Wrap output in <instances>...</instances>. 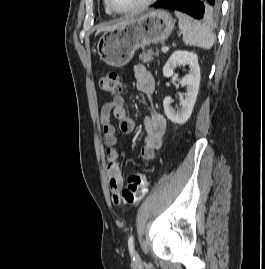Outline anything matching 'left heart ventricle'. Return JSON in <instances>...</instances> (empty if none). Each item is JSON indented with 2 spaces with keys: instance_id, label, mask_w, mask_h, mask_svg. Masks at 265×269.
<instances>
[{
  "instance_id": "obj_1",
  "label": "left heart ventricle",
  "mask_w": 265,
  "mask_h": 269,
  "mask_svg": "<svg viewBox=\"0 0 265 269\" xmlns=\"http://www.w3.org/2000/svg\"><path fill=\"white\" fill-rule=\"evenodd\" d=\"M113 6L119 10L131 9L145 0H111Z\"/></svg>"
}]
</instances>
